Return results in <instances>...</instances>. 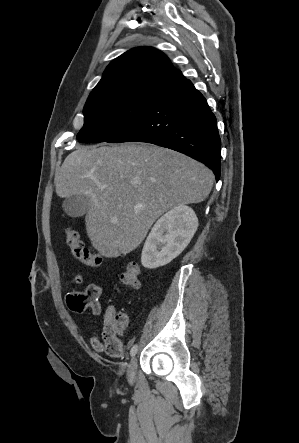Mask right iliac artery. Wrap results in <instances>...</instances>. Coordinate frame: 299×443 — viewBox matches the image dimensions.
Returning a JSON list of instances; mask_svg holds the SVG:
<instances>
[{"label":"right iliac artery","mask_w":299,"mask_h":443,"mask_svg":"<svg viewBox=\"0 0 299 443\" xmlns=\"http://www.w3.org/2000/svg\"><path fill=\"white\" fill-rule=\"evenodd\" d=\"M137 350H138V345L135 344V345L132 347L131 351H130V355H131L132 357L135 356V354L137 353Z\"/></svg>","instance_id":"right-iliac-artery-1"}]
</instances>
